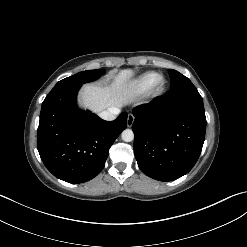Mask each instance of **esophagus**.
Masks as SVG:
<instances>
[{
	"label": "esophagus",
	"instance_id": "obj_1",
	"mask_svg": "<svg viewBox=\"0 0 247 247\" xmlns=\"http://www.w3.org/2000/svg\"><path fill=\"white\" fill-rule=\"evenodd\" d=\"M135 120V117L132 114H128L127 117V126L131 127L133 125V122Z\"/></svg>",
	"mask_w": 247,
	"mask_h": 247
}]
</instances>
